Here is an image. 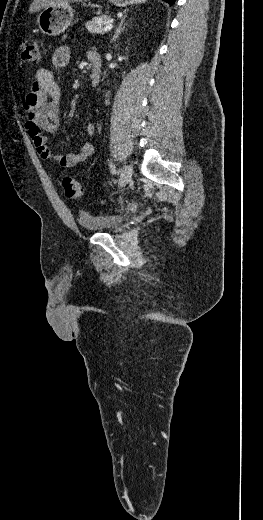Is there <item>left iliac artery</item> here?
<instances>
[{
	"instance_id": "44dca946",
	"label": "left iliac artery",
	"mask_w": 263,
	"mask_h": 520,
	"mask_svg": "<svg viewBox=\"0 0 263 520\" xmlns=\"http://www.w3.org/2000/svg\"><path fill=\"white\" fill-rule=\"evenodd\" d=\"M110 171H111L112 174L116 173L115 165L112 162L110 163Z\"/></svg>"
}]
</instances>
